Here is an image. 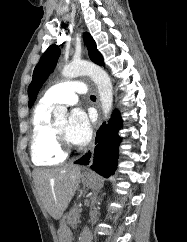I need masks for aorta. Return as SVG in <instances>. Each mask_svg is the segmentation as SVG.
<instances>
[{"label":"aorta","instance_id":"aorta-1","mask_svg":"<svg viewBox=\"0 0 187 242\" xmlns=\"http://www.w3.org/2000/svg\"><path fill=\"white\" fill-rule=\"evenodd\" d=\"M80 75L89 76L97 85L104 119L107 122L111 115L113 103L112 83L110 77L101 67L87 61L71 62L65 65L62 70V76L65 78H73ZM66 112L67 108L65 106H57L53 113L54 116L59 119L62 118Z\"/></svg>","mask_w":187,"mask_h":242}]
</instances>
